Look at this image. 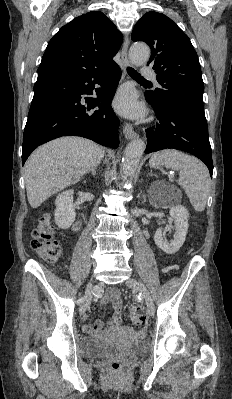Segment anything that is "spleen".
Segmentation results:
<instances>
[{"label":"spleen","instance_id":"3e777b00","mask_svg":"<svg viewBox=\"0 0 232 399\" xmlns=\"http://www.w3.org/2000/svg\"><path fill=\"white\" fill-rule=\"evenodd\" d=\"M149 164L150 168L165 166L179 170L178 184L185 190L194 209H205L210 192V174L203 162L178 150H162L153 154Z\"/></svg>","mask_w":232,"mask_h":399}]
</instances>
